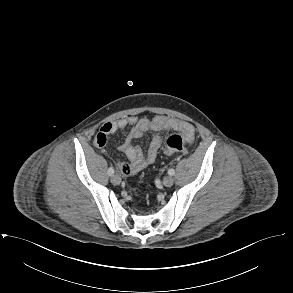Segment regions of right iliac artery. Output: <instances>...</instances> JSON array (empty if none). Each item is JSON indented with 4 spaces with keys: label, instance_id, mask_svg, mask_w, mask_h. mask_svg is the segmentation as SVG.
Listing matches in <instances>:
<instances>
[{
    "label": "right iliac artery",
    "instance_id": "82829eb1",
    "mask_svg": "<svg viewBox=\"0 0 293 293\" xmlns=\"http://www.w3.org/2000/svg\"><path fill=\"white\" fill-rule=\"evenodd\" d=\"M108 174H109L110 176L114 174V169H113L112 167H110V168L108 169Z\"/></svg>",
    "mask_w": 293,
    "mask_h": 293
}]
</instances>
